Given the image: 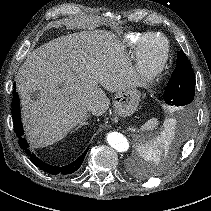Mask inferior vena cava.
<instances>
[{
    "label": "inferior vena cava",
    "mask_w": 211,
    "mask_h": 211,
    "mask_svg": "<svg viewBox=\"0 0 211 211\" xmlns=\"http://www.w3.org/2000/svg\"><path fill=\"white\" fill-rule=\"evenodd\" d=\"M93 109H94V104H93V103H89V104H88V110H89L90 112H92Z\"/></svg>",
    "instance_id": "602c4592"
}]
</instances>
